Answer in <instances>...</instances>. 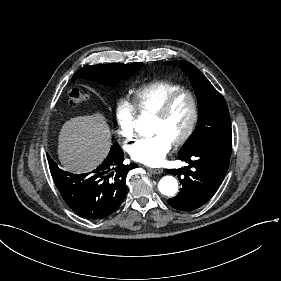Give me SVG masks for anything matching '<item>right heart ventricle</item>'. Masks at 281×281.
Listing matches in <instances>:
<instances>
[{"label": "right heart ventricle", "mask_w": 281, "mask_h": 281, "mask_svg": "<svg viewBox=\"0 0 281 281\" xmlns=\"http://www.w3.org/2000/svg\"><path fill=\"white\" fill-rule=\"evenodd\" d=\"M185 90L184 86L174 82L160 81L132 93L133 108L140 115L157 110L172 94Z\"/></svg>", "instance_id": "obj_1"}]
</instances>
